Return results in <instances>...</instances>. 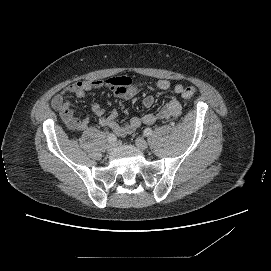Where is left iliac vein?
Masks as SVG:
<instances>
[{"mask_svg": "<svg viewBox=\"0 0 271 271\" xmlns=\"http://www.w3.org/2000/svg\"><path fill=\"white\" fill-rule=\"evenodd\" d=\"M135 144L141 150H145L148 148L147 142L142 137L136 138Z\"/></svg>", "mask_w": 271, "mask_h": 271, "instance_id": "4c4485c4", "label": "left iliac vein"}]
</instances>
